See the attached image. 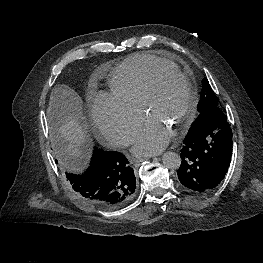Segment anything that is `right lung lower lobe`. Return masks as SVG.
<instances>
[{
	"label": "right lung lower lobe",
	"instance_id": "right-lung-lower-lobe-1",
	"mask_svg": "<svg viewBox=\"0 0 263 263\" xmlns=\"http://www.w3.org/2000/svg\"><path fill=\"white\" fill-rule=\"evenodd\" d=\"M73 189L87 203L114 209L126 205L136 188L134 170L119 152L94 148L90 166L67 176Z\"/></svg>",
	"mask_w": 263,
	"mask_h": 263
}]
</instances>
